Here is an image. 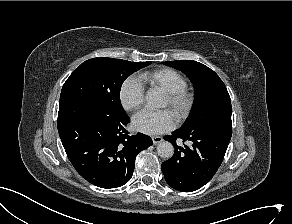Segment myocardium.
I'll return each mask as SVG.
<instances>
[{
    "instance_id": "f54148a6",
    "label": "myocardium",
    "mask_w": 292,
    "mask_h": 224,
    "mask_svg": "<svg viewBox=\"0 0 292 224\" xmlns=\"http://www.w3.org/2000/svg\"><path fill=\"white\" fill-rule=\"evenodd\" d=\"M165 97L168 100V106L179 121H183L189 116L195 103V96L193 93L186 89H182L166 92Z\"/></svg>"
}]
</instances>
